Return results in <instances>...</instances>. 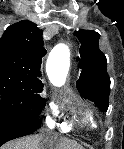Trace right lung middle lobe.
I'll return each mask as SVG.
<instances>
[{
	"label": "right lung middle lobe",
	"mask_w": 124,
	"mask_h": 149,
	"mask_svg": "<svg viewBox=\"0 0 124 149\" xmlns=\"http://www.w3.org/2000/svg\"><path fill=\"white\" fill-rule=\"evenodd\" d=\"M42 91V86H30L12 74L0 72V123L37 119L46 105Z\"/></svg>",
	"instance_id": "dd1d6c3e"
}]
</instances>
